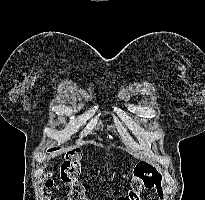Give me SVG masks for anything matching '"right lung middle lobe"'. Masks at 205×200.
Segmentation results:
<instances>
[{
  "label": "right lung middle lobe",
  "mask_w": 205,
  "mask_h": 200,
  "mask_svg": "<svg viewBox=\"0 0 205 200\" xmlns=\"http://www.w3.org/2000/svg\"><path fill=\"white\" fill-rule=\"evenodd\" d=\"M56 149H58V148L51 149L50 151H52V150H56Z\"/></svg>",
  "instance_id": "right-lung-middle-lobe-1"
}]
</instances>
